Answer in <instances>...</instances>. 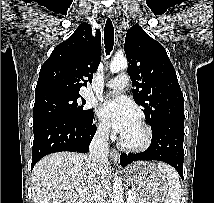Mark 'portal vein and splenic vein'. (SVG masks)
Returning a JSON list of instances; mask_svg holds the SVG:
<instances>
[{"label":"portal vein and splenic vein","mask_w":214,"mask_h":203,"mask_svg":"<svg viewBox=\"0 0 214 203\" xmlns=\"http://www.w3.org/2000/svg\"><path fill=\"white\" fill-rule=\"evenodd\" d=\"M127 203H133V196L131 192L128 194Z\"/></svg>","instance_id":"1"}]
</instances>
